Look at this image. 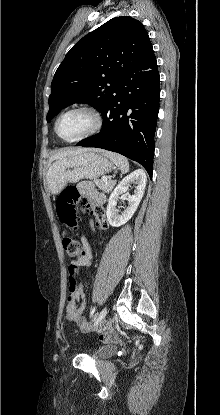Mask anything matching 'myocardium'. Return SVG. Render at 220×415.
Wrapping results in <instances>:
<instances>
[{
	"label": "myocardium",
	"mask_w": 220,
	"mask_h": 415,
	"mask_svg": "<svg viewBox=\"0 0 220 415\" xmlns=\"http://www.w3.org/2000/svg\"><path fill=\"white\" fill-rule=\"evenodd\" d=\"M77 111L89 113L92 116L93 121H94L93 126L91 127V129L89 131H87L86 133H84V134H82V135H80V136H78L74 139L61 138L58 134V131H57V126H58V123H59L60 119L68 113L77 112ZM102 127H103V118H102V115H101L100 111L92 105L82 104V105L73 106V107L63 111L55 120L54 132L57 135V137L59 139L63 140L64 142L74 143V142H78V141H81L83 139H86V138H89L91 136L96 135L98 132H100Z\"/></svg>",
	"instance_id": "obj_1"
}]
</instances>
